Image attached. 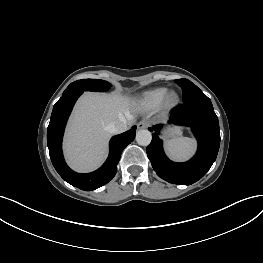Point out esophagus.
I'll use <instances>...</instances> for the list:
<instances>
[{
  "label": "esophagus",
  "instance_id": "34e87169",
  "mask_svg": "<svg viewBox=\"0 0 263 263\" xmlns=\"http://www.w3.org/2000/svg\"><path fill=\"white\" fill-rule=\"evenodd\" d=\"M149 126V123L145 120H142L140 121L138 124H137V127L138 129H145Z\"/></svg>",
  "mask_w": 263,
  "mask_h": 263
}]
</instances>
